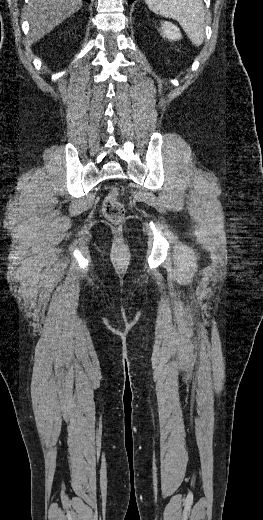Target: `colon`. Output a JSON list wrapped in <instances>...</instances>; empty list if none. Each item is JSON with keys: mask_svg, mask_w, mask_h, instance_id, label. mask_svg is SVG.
<instances>
[{"mask_svg": "<svg viewBox=\"0 0 263 520\" xmlns=\"http://www.w3.org/2000/svg\"><path fill=\"white\" fill-rule=\"evenodd\" d=\"M102 212L107 220L113 223H118L123 220L125 216L124 205L118 198V191L116 188H111L102 204Z\"/></svg>", "mask_w": 263, "mask_h": 520, "instance_id": "obj_1", "label": "colon"}]
</instances>
